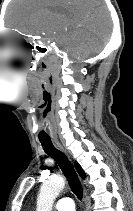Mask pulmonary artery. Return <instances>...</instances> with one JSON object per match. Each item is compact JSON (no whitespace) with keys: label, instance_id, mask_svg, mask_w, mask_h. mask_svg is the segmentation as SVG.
Listing matches in <instances>:
<instances>
[{"label":"pulmonary artery","instance_id":"pulmonary-artery-1","mask_svg":"<svg viewBox=\"0 0 133 211\" xmlns=\"http://www.w3.org/2000/svg\"><path fill=\"white\" fill-rule=\"evenodd\" d=\"M54 208L56 211H75L74 202L69 197H63L59 199L55 203Z\"/></svg>","mask_w":133,"mask_h":211}]
</instances>
